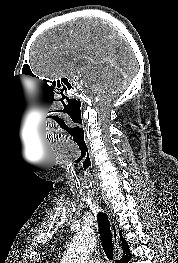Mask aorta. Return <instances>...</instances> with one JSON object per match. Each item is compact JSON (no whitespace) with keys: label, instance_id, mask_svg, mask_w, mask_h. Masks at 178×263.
<instances>
[{"label":"aorta","instance_id":"762f6f07","mask_svg":"<svg viewBox=\"0 0 178 263\" xmlns=\"http://www.w3.org/2000/svg\"><path fill=\"white\" fill-rule=\"evenodd\" d=\"M95 245L96 238L93 232L82 230L73 237L61 263H87Z\"/></svg>","mask_w":178,"mask_h":263}]
</instances>
